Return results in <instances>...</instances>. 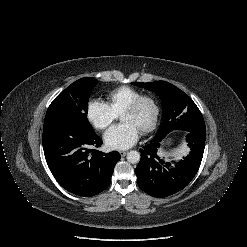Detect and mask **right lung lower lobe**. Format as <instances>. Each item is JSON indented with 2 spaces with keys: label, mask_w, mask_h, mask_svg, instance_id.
I'll return each instance as SVG.
<instances>
[{
  "label": "right lung lower lobe",
  "mask_w": 247,
  "mask_h": 247,
  "mask_svg": "<svg viewBox=\"0 0 247 247\" xmlns=\"http://www.w3.org/2000/svg\"><path fill=\"white\" fill-rule=\"evenodd\" d=\"M42 144L46 162L56 181L67 191L90 197L110 184L117 151L107 154L93 149L101 138L92 128L69 119L44 122Z\"/></svg>",
  "instance_id": "98d812e1"
}]
</instances>
